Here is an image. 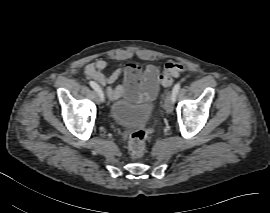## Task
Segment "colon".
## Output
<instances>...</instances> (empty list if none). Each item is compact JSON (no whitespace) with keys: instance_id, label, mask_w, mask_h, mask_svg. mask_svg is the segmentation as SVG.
<instances>
[{"instance_id":"5ec220e1","label":"colon","mask_w":270,"mask_h":213,"mask_svg":"<svg viewBox=\"0 0 270 213\" xmlns=\"http://www.w3.org/2000/svg\"><path fill=\"white\" fill-rule=\"evenodd\" d=\"M185 70V66L181 63L169 62L164 66L160 80L164 87H171L173 84V77ZM153 125L148 128H141L129 134L128 150L132 158H141L146 150V139L148 134L152 131Z\"/></svg>"}]
</instances>
